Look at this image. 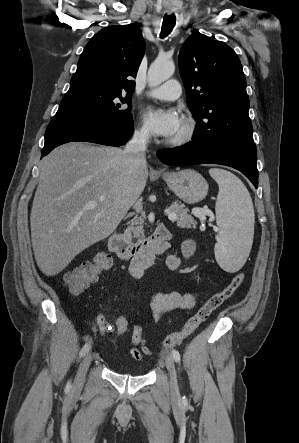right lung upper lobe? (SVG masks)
<instances>
[{"label":"right lung upper lobe","mask_w":299,"mask_h":443,"mask_svg":"<svg viewBox=\"0 0 299 443\" xmlns=\"http://www.w3.org/2000/svg\"><path fill=\"white\" fill-rule=\"evenodd\" d=\"M145 42L135 25L109 26L95 34L85 46L70 88H101L117 92L134 91Z\"/></svg>","instance_id":"right-lung-upper-lobe-1"}]
</instances>
